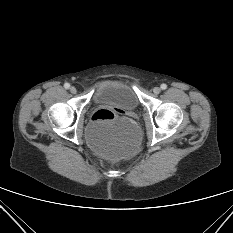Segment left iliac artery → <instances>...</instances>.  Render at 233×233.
Segmentation results:
<instances>
[{"label": "left iliac artery", "mask_w": 233, "mask_h": 233, "mask_svg": "<svg viewBox=\"0 0 233 233\" xmlns=\"http://www.w3.org/2000/svg\"><path fill=\"white\" fill-rule=\"evenodd\" d=\"M160 87H161L162 90H165L167 88V85L163 83V84H161Z\"/></svg>", "instance_id": "obj_1"}]
</instances>
